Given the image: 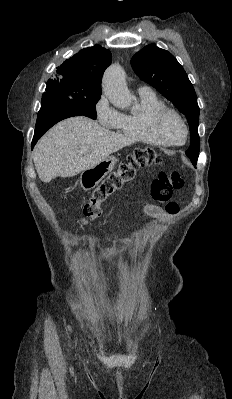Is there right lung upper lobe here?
<instances>
[{"instance_id":"cb5924a9","label":"right lung upper lobe","mask_w":232,"mask_h":399,"mask_svg":"<svg viewBox=\"0 0 232 399\" xmlns=\"http://www.w3.org/2000/svg\"><path fill=\"white\" fill-rule=\"evenodd\" d=\"M111 53L100 45L84 48L57 68L49 82L90 92H102L101 80L111 63Z\"/></svg>"}]
</instances>
